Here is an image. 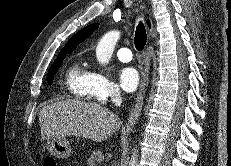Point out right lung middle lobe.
Segmentation results:
<instances>
[{
  "label": "right lung middle lobe",
  "instance_id": "1",
  "mask_svg": "<svg viewBox=\"0 0 231 166\" xmlns=\"http://www.w3.org/2000/svg\"><path fill=\"white\" fill-rule=\"evenodd\" d=\"M65 57H66V54H60V55H58L57 59L54 61L53 65L51 66V68L47 74V83L48 84H52L54 75L57 72L58 68L61 66Z\"/></svg>",
  "mask_w": 231,
  "mask_h": 166
}]
</instances>
